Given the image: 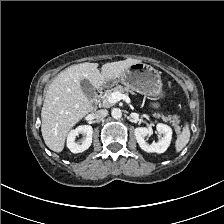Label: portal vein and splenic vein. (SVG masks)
<instances>
[{
    "label": "portal vein and splenic vein",
    "mask_w": 224,
    "mask_h": 224,
    "mask_svg": "<svg viewBox=\"0 0 224 224\" xmlns=\"http://www.w3.org/2000/svg\"><path fill=\"white\" fill-rule=\"evenodd\" d=\"M120 100H124L126 103L130 104V98L126 94H122L120 92H113L108 97V101L110 103H117Z\"/></svg>",
    "instance_id": "18ae733b"
}]
</instances>
